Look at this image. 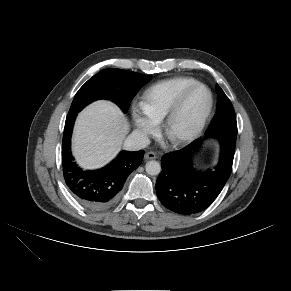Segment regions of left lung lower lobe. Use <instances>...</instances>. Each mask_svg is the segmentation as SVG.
I'll list each match as a JSON object with an SVG mask.
<instances>
[{
  "label": "left lung lower lobe",
  "instance_id": "1",
  "mask_svg": "<svg viewBox=\"0 0 291 291\" xmlns=\"http://www.w3.org/2000/svg\"><path fill=\"white\" fill-rule=\"evenodd\" d=\"M206 137H216L221 143V156L215 169L196 172L190 153L202 140L162 157V172L156 182L161 203L175 213L191 215L208 208L222 191L232 170L237 129L219 128L206 131Z\"/></svg>",
  "mask_w": 291,
  "mask_h": 291
}]
</instances>
